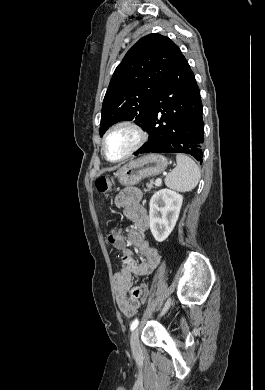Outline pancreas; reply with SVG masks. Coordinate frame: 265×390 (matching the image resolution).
I'll return each instance as SVG.
<instances>
[{
	"label": "pancreas",
	"mask_w": 265,
	"mask_h": 390,
	"mask_svg": "<svg viewBox=\"0 0 265 390\" xmlns=\"http://www.w3.org/2000/svg\"><path fill=\"white\" fill-rule=\"evenodd\" d=\"M154 181L150 180V182L146 185L147 189L145 191H150L154 187Z\"/></svg>",
	"instance_id": "pancreas-1"
}]
</instances>
